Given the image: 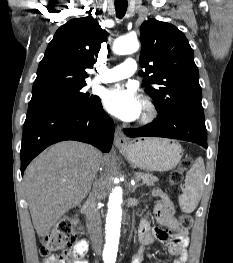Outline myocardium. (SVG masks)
Returning <instances> with one entry per match:
<instances>
[{
	"instance_id": "f54148a6",
	"label": "myocardium",
	"mask_w": 233,
	"mask_h": 263,
	"mask_svg": "<svg viewBox=\"0 0 233 263\" xmlns=\"http://www.w3.org/2000/svg\"><path fill=\"white\" fill-rule=\"evenodd\" d=\"M158 116V107L150 97H144L142 100V115L140 123L148 124Z\"/></svg>"
}]
</instances>
